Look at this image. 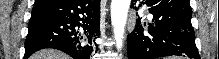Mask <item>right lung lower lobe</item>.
I'll list each match as a JSON object with an SVG mask.
<instances>
[{
	"instance_id": "1",
	"label": "right lung lower lobe",
	"mask_w": 219,
	"mask_h": 59,
	"mask_svg": "<svg viewBox=\"0 0 219 59\" xmlns=\"http://www.w3.org/2000/svg\"><path fill=\"white\" fill-rule=\"evenodd\" d=\"M25 41L27 59L43 48L59 49L74 59H89L97 51L100 31V0H43L35 2Z\"/></svg>"
}]
</instances>
